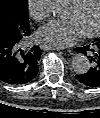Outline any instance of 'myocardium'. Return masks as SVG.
<instances>
[{"label": "myocardium", "mask_w": 100, "mask_h": 118, "mask_svg": "<svg viewBox=\"0 0 100 118\" xmlns=\"http://www.w3.org/2000/svg\"><path fill=\"white\" fill-rule=\"evenodd\" d=\"M83 1L84 0H70L71 4L73 6H79V5H81L83 3ZM99 31H100V0H99V17H98V22H97L96 26L92 30L83 33V35L85 37H87V38H92V37L96 36L99 33Z\"/></svg>", "instance_id": "obj_1"}]
</instances>
